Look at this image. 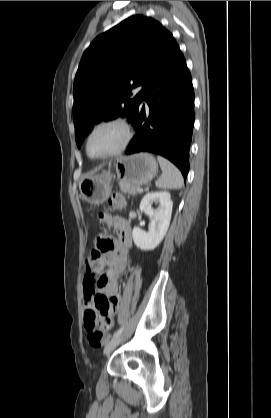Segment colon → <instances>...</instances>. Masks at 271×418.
Instances as JSON below:
<instances>
[{
	"instance_id": "obj_1",
	"label": "colon",
	"mask_w": 271,
	"mask_h": 418,
	"mask_svg": "<svg viewBox=\"0 0 271 418\" xmlns=\"http://www.w3.org/2000/svg\"><path fill=\"white\" fill-rule=\"evenodd\" d=\"M110 203L115 208H121L124 200L122 195L115 194L112 196ZM114 245L111 240L100 238L97 247L92 251V259L100 260L101 254L113 250ZM108 300L103 295H97L95 298V309L88 310L85 313L84 324L87 330V338L89 344L94 348L101 347L105 342V326L99 314L100 310L107 307Z\"/></svg>"
}]
</instances>
